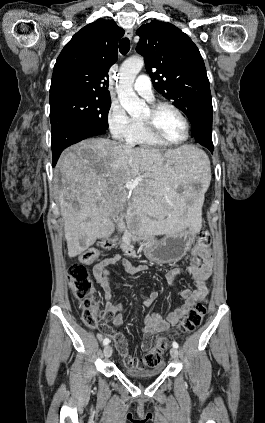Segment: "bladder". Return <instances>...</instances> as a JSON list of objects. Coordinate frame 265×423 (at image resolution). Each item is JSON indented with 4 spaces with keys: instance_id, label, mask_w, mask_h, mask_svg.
I'll use <instances>...</instances> for the list:
<instances>
[{
    "instance_id": "1",
    "label": "bladder",
    "mask_w": 265,
    "mask_h": 423,
    "mask_svg": "<svg viewBox=\"0 0 265 423\" xmlns=\"http://www.w3.org/2000/svg\"><path fill=\"white\" fill-rule=\"evenodd\" d=\"M123 370L126 375L135 377V378L154 377L162 373V368L160 367L143 369V368H133V367L124 366Z\"/></svg>"
}]
</instances>
